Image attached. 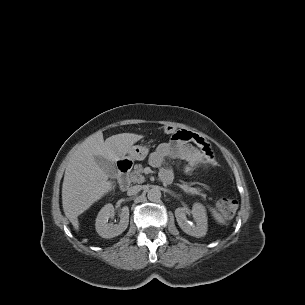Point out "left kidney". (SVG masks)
<instances>
[{
    "instance_id": "obj_1",
    "label": "left kidney",
    "mask_w": 305,
    "mask_h": 305,
    "mask_svg": "<svg viewBox=\"0 0 305 305\" xmlns=\"http://www.w3.org/2000/svg\"><path fill=\"white\" fill-rule=\"evenodd\" d=\"M191 214L194 223L187 220L186 215ZM175 217L180 228L188 235L200 238L207 232V213L206 208L201 203H195L192 210L185 207H179L175 210Z\"/></svg>"
}]
</instances>
